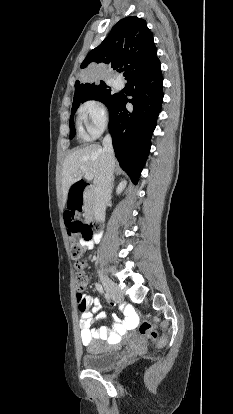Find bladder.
I'll use <instances>...</instances> for the list:
<instances>
[{
  "label": "bladder",
  "instance_id": "31cf9c89",
  "mask_svg": "<svg viewBox=\"0 0 233 414\" xmlns=\"http://www.w3.org/2000/svg\"><path fill=\"white\" fill-rule=\"evenodd\" d=\"M120 359V353L100 343L89 346V353L82 357V364L88 370L102 371L113 367Z\"/></svg>",
  "mask_w": 233,
  "mask_h": 414
}]
</instances>
